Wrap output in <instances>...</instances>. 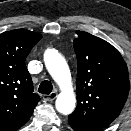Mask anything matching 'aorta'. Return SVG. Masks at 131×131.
Masks as SVG:
<instances>
[{
    "label": "aorta",
    "instance_id": "762f6f07",
    "mask_svg": "<svg viewBox=\"0 0 131 131\" xmlns=\"http://www.w3.org/2000/svg\"><path fill=\"white\" fill-rule=\"evenodd\" d=\"M44 62L50 75L61 89L55 106L58 112L67 115L73 112L76 98L71 88V74L64 57L56 50H47Z\"/></svg>",
    "mask_w": 131,
    "mask_h": 131
}]
</instances>
